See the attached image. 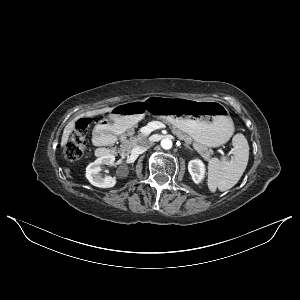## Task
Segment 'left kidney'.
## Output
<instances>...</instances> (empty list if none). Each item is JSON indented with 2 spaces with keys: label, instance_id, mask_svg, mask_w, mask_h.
Returning <instances> with one entry per match:
<instances>
[{
  "label": "left kidney",
  "instance_id": "5707ae66",
  "mask_svg": "<svg viewBox=\"0 0 300 300\" xmlns=\"http://www.w3.org/2000/svg\"><path fill=\"white\" fill-rule=\"evenodd\" d=\"M188 171L193 179V181L198 184L200 183L205 175V164L199 160H191L188 164Z\"/></svg>",
  "mask_w": 300,
  "mask_h": 300
}]
</instances>
